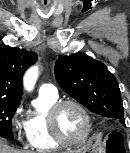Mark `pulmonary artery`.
I'll return each mask as SVG.
<instances>
[{"label":"pulmonary artery","mask_w":130,"mask_h":153,"mask_svg":"<svg viewBox=\"0 0 130 153\" xmlns=\"http://www.w3.org/2000/svg\"><path fill=\"white\" fill-rule=\"evenodd\" d=\"M39 94L57 96V88L51 83H44L39 87Z\"/></svg>","instance_id":"1"}]
</instances>
